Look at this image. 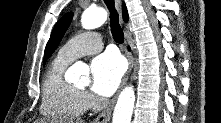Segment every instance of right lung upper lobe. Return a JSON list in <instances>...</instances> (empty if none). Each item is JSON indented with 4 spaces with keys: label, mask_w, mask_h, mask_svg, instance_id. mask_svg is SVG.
<instances>
[{
    "label": "right lung upper lobe",
    "mask_w": 221,
    "mask_h": 123,
    "mask_svg": "<svg viewBox=\"0 0 221 123\" xmlns=\"http://www.w3.org/2000/svg\"><path fill=\"white\" fill-rule=\"evenodd\" d=\"M122 12H123V19L125 22H127L128 21V13H127V8H126L125 4H123V6H122Z\"/></svg>",
    "instance_id": "obj_1"
}]
</instances>
